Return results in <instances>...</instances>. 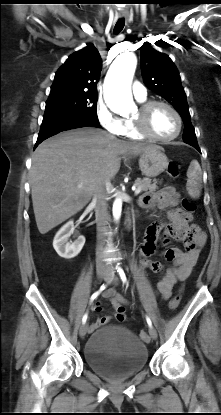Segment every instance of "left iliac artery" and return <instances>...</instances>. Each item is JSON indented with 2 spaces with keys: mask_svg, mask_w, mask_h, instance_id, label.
Here are the masks:
<instances>
[{
  "mask_svg": "<svg viewBox=\"0 0 221 415\" xmlns=\"http://www.w3.org/2000/svg\"><path fill=\"white\" fill-rule=\"evenodd\" d=\"M117 271L119 273V276H120L122 282L127 283V278H126V275H125L123 269L121 267H118ZM146 321H147V324L149 325V327H152V322H151V320L148 316H146Z\"/></svg>",
  "mask_w": 221,
  "mask_h": 415,
  "instance_id": "obj_1",
  "label": "left iliac artery"
}]
</instances>
